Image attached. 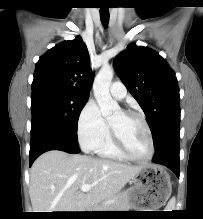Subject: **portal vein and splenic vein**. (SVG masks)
<instances>
[{"mask_svg": "<svg viewBox=\"0 0 203 219\" xmlns=\"http://www.w3.org/2000/svg\"><path fill=\"white\" fill-rule=\"evenodd\" d=\"M94 186V184H83L80 189L83 192H88L92 187Z\"/></svg>", "mask_w": 203, "mask_h": 219, "instance_id": "obj_1", "label": "portal vein and splenic vein"}]
</instances>
